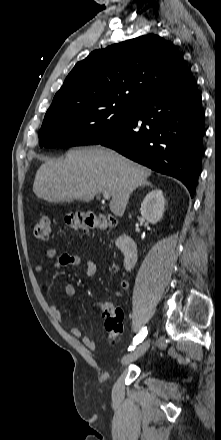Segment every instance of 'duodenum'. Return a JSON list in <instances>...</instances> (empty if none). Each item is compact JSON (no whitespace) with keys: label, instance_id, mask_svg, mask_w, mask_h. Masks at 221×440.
Returning a JSON list of instances; mask_svg holds the SVG:
<instances>
[{"label":"duodenum","instance_id":"1","mask_svg":"<svg viewBox=\"0 0 221 440\" xmlns=\"http://www.w3.org/2000/svg\"><path fill=\"white\" fill-rule=\"evenodd\" d=\"M117 246L124 256V268L130 270L137 261V248L133 238L127 234H121L117 238Z\"/></svg>","mask_w":221,"mask_h":440}]
</instances>
